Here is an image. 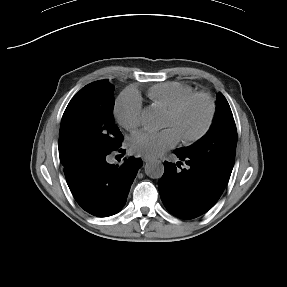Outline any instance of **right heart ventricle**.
Wrapping results in <instances>:
<instances>
[{"instance_id":"right-heart-ventricle-1","label":"right heart ventricle","mask_w":287,"mask_h":287,"mask_svg":"<svg viewBox=\"0 0 287 287\" xmlns=\"http://www.w3.org/2000/svg\"><path fill=\"white\" fill-rule=\"evenodd\" d=\"M191 93L193 88L190 85L178 81L156 84L147 92L152 105L165 112Z\"/></svg>"}]
</instances>
